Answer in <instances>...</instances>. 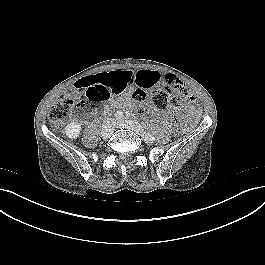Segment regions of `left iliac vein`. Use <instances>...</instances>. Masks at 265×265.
<instances>
[{"label":"left iliac vein","instance_id":"4c4485c4","mask_svg":"<svg viewBox=\"0 0 265 265\" xmlns=\"http://www.w3.org/2000/svg\"><path fill=\"white\" fill-rule=\"evenodd\" d=\"M114 126L116 128H127V129H131L133 130L134 132H136L137 134L143 136L144 134V131H143V128L141 127L140 124H138L137 122L135 121H124V120H118V121H115L114 122ZM154 138L153 139H145L144 138V141L146 143H153L154 142Z\"/></svg>","mask_w":265,"mask_h":265}]
</instances>
